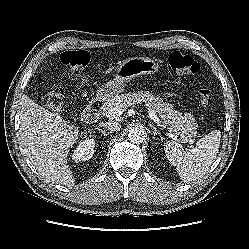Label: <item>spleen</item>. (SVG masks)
Returning <instances> with one entry per match:
<instances>
[{
	"mask_svg": "<svg viewBox=\"0 0 249 249\" xmlns=\"http://www.w3.org/2000/svg\"><path fill=\"white\" fill-rule=\"evenodd\" d=\"M221 132L213 130L196 143L195 148L184 149L176 141H167L165 154L171 165L184 182H192L201 178L214 162L220 146Z\"/></svg>",
	"mask_w": 249,
	"mask_h": 249,
	"instance_id": "3e777b00",
	"label": "spleen"
}]
</instances>
